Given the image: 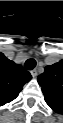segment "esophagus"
<instances>
[{"label": "esophagus", "mask_w": 63, "mask_h": 123, "mask_svg": "<svg viewBox=\"0 0 63 123\" xmlns=\"http://www.w3.org/2000/svg\"><path fill=\"white\" fill-rule=\"evenodd\" d=\"M37 74H38V72H37L36 69H33V70L31 71V75H32L33 77H36Z\"/></svg>", "instance_id": "34e87169"}]
</instances>
